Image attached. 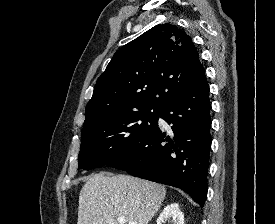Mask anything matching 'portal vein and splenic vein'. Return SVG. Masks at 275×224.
<instances>
[{
    "mask_svg": "<svg viewBox=\"0 0 275 224\" xmlns=\"http://www.w3.org/2000/svg\"><path fill=\"white\" fill-rule=\"evenodd\" d=\"M117 221L119 222V224H124L126 222V219L124 217H119L117 219ZM129 224H135L134 222H130Z\"/></svg>",
    "mask_w": 275,
    "mask_h": 224,
    "instance_id": "18ae733b",
    "label": "portal vein and splenic vein"
}]
</instances>
